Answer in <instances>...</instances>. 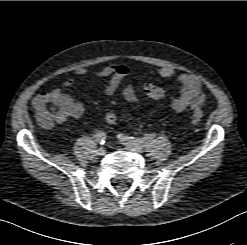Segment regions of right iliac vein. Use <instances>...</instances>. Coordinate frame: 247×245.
Returning a JSON list of instances; mask_svg holds the SVG:
<instances>
[{"instance_id": "63e3f726", "label": "right iliac vein", "mask_w": 247, "mask_h": 245, "mask_svg": "<svg viewBox=\"0 0 247 245\" xmlns=\"http://www.w3.org/2000/svg\"><path fill=\"white\" fill-rule=\"evenodd\" d=\"M97 154L99 156H104L106 154V149L104 147H100L98 150H97Z\"/></svg>"}]
</instances>
